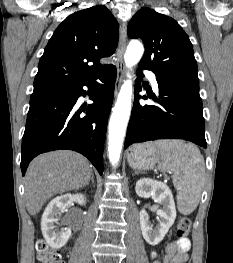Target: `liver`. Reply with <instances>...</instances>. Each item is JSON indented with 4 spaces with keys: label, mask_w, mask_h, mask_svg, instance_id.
Listing matches in <instances>:
<instances>
[{
    "label": "liver",
    "mask_w": 233,
    "mask_h": 263,
    "mask_svg": "<svg viewBox=\"0 0 233 263\" xmlns=\"http://www.w3.org/2000/svg\"><path fill=\"white\" fill-rule=\"evenodd\" d=\"M92 169L82 155L72 151L41 154L30 163L25 176V203L37 214L53 195L89 184Z\"/></svg>",
    "instance_id": "1"
}]
</instances>
